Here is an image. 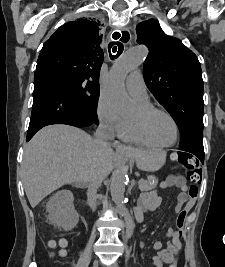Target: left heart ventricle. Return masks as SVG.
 <instances>
[{"mask_svg": "<svg viewBox=\"0 0 225 267\" xmlns=\"http://www.w3.org/2000/svg\"><path fill=\"white\" fill-rule=\"evenodd\" d=\"M148 127L152 138L157 143L169 144L175 139L174 124L163 114H154L148 122Z\"/></svg>", "mask_w": 225, "mask_h": 267, "instance_id": "left-heart-ventricle-1", "label": "left heart ventricle"}]
</instances>
